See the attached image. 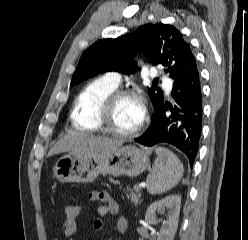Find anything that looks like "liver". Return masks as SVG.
I'll return each instance as SVG.
<instances>
[{
  "instance_id": "6515ba94",
  "label": "liver",
  "mask_w": 248,
  "mask_h": 240,
  "mask_svg": "<svg viewBox=\"0 0 248 240\" xmlns=\"http://www.w3.org/2000/svg\"><path fill=\"white\" fill-rule=\"evenodd\" d=\"M121 140L97 137L84 133H73L61 138L49 151L48 156L62 152H72L76 154L94 153L111 150L120 147Z\"/></svg>"
}]
</instances>
